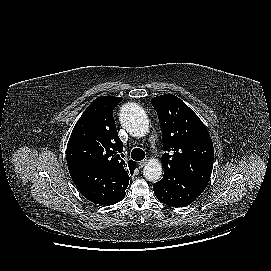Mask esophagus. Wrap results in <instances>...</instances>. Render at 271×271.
Instances as JSON below:
<instances>
[{"label":"esophagus","instance_id":"obj_1","mask_svg":"<svg viewBox=\"0 0 271 271\" xmlns=\"http://www.w3.org/2000/svg\"><path fill=\"white\" fill-rule=\"evenodd\" d=\"M147 163V160L145 159V160H142V161H140L139 163H138V167L139 168H143L144 167V165Z\"/></svg>","mask_w":271,"mask_h":271}]
</instances>
